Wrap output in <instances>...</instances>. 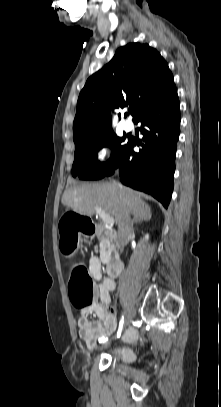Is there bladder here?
I'll return each mask as SVG.
<instances>
[{
    "label": "bladder",
    "mask_w": 221,
    "mask_h": 407,
    "mask_svg": "<svg viewBox=\"0 0 221 407\" xmlns=\"http://www.w3.org/2000/svg\"><path fill=\"white\" fill-rule=\"evenodd\" d=\"M114 355L122 362L128 363L131 360L132 352L128 348H119L115 350Z\"/></svg>",
    "instance_id": "obj_1"
}]
</instances>
